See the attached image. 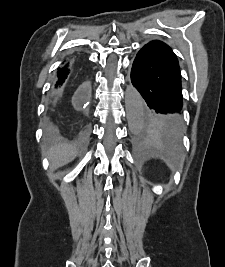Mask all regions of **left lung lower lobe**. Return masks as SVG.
<instances>
[{
  "mask_svg": "<svg viewBox=\"0 0 225 267\" xmlns=\"http://www.w3.org/2000/svg\"><path fill=\"white\" fill-rule=\"evenodd\" d=\"M131 82L142 96L144 107L163 117L181 135V73L171 48L159 40L144 45L133 62Z\"/></svg>",
  "mask_w": 225,
  "mask_h": 267,
  "instance_id": "obj_1",
  "label": "left lung lower lobe"
}]
</instances>
